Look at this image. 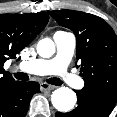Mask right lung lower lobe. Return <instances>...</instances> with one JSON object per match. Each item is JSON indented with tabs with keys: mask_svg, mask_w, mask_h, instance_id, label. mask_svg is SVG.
<instances>
[{
	"mask_svg": "<svg viewBox=\"0 0 117 117\" xmlns=\"http://www.w3.org/2000/svg\"><path fill=\"white\" fill-rule=\"evenodd\" d=\"M40 92L37 82H16L0 92V117H25L30 100Z\"/></svg>",
	"mask_w": 117,
	"mask_h": 117,
	"instance_id": "98d812e1",
	"label": "right lung lower lobe"
}]
</instances>
